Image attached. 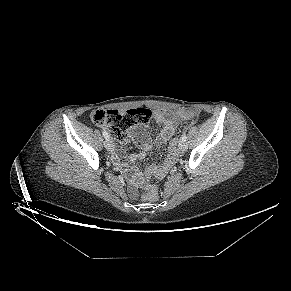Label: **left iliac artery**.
I'll list each match as a JSON object with an SVG mask.
<instances>
[{"instance_id":"obj_1","label":"left iliac artery","mask_w":291,"mask_h":291,"mask_svg":"<svg viewBox=\"0 0 291 291\" xmlns=\"http://www.w3.org/2000/svg\"><path fill=\"white\" fill-rule=\"evenodd\" d=\"M181 140H182V141H186V140H187V135H186V133H184V134L182 135Z\"/></svg>"}]
</instances>
